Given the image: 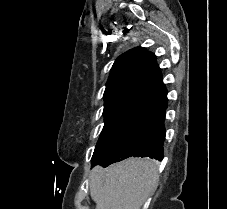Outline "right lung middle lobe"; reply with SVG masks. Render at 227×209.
<instances>
[{
    "instance_id": "dd1d6c3e",
    "label": "right lung middle lobe",
    "mask_w": 227,
    "mask_h": 209,
    "mask_svg": "<svg viewBox=\"0 0 227 209\" xmlns=\"http://www.w3.org/2000/svg\"><path fill=\"white\" fill-rule=\"evenodd\" d=\"M152 107L130 99L112 103L103 112L104 127L92 156V167L101 165L119 147L136 135L148 122Z\"/></svg>"
}]
</instances>
